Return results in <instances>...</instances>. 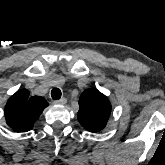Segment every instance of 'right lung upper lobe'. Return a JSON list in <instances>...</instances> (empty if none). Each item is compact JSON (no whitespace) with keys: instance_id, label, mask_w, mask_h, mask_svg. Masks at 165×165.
<instances>
[{"instance_id":"obj_1","label":"right lung upper lobe","mask_w":165,"mask_h":165,"mask_svg":"<svg viewBox=\"0 0 165 165\" xmlns=\"http://www.w3.org/2000/svg\"><path fill=\"white\" fill-rule=\"evenodd\" d=\"M47 106L48 102L43 97H30L28 90H19L5 106L6 122L17 132L29 131Z\"/></svg>"}]
</instances>
